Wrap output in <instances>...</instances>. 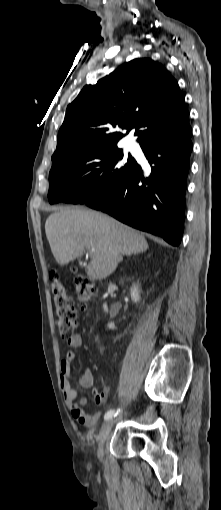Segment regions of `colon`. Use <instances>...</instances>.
I'll list each match as a JSON object with an SVG mask.
<instances>
[{"instance_id":"5ec220e1","label":"colon","mask_w":221,"mask_h":510,"mask_svg":"<svg viewBox=\"0 0 221 510\" xmlns=\"http://www.w3.org/2000/svg\"><path fill=\"white\" fill-rule=\"evenodd\" d=\"M50 279L58 330L62 338L68 339L74 335L77 327V309L57 270H51ZM74 291L80 308L84 309L96 294L97 286L88 276L76 273ZM95 401L98 404L104 403V396L96 393Z\"/></svg>"}]
</instances>
